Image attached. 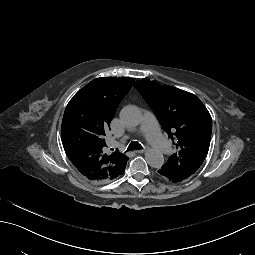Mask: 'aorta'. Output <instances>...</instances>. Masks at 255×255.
<instances>
[{
    "label": "aorta",
    "mask_w": 255,
    "mask_h": 255,
    "mask_svg": "<svg viewBox=\"0 0 255 255\" xmlns=\"http://www.w3.org/2000/svg\"><path fill=\"white\" fill-rule=\"evenodd\" d=\"M122 122L129 127H135L140 124L142 120V114L136 106H126L120 112ZM147 163L152 168L159 169L164 164V157L162 152L157 149H149L145 154Z\"/></svg>",
    "instance_id": "aorta-1"
}]
</instances>
